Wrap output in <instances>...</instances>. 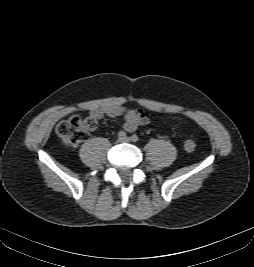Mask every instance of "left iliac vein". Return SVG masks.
Segmentation results:
<instances>
[{
	"mask_svg": "<svg viewBox=\"0 0 254 267\" xmlns=\"http://www.w3.org/2000/svg\"><path fill=\"white\" fill-rule=\"evenodd\" d=\"M121 142H130V139L128 137H125V138L121 139Z\"/></svg>",
	"mask_w": 254,
	"mask_h": 267,
	"instance_id": "obj_1",
	"label": "left iliac vein"
}]
</instances>
